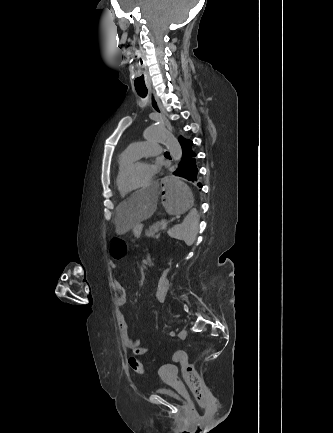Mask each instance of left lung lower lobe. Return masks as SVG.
Here are the masks:
<instances>
[{"label":"left lung lower lobe","instance_id":"left-lung-lower-lobe-1","mask_svg":"<svg viewBox=\"0 0 333 433\" xmlns=\"http://www.w3.org/2000/svg\"><path fill=\"white\" fill-rule=\"evenodd\" d=\"M179 142L182 149L181 159L174 175L187 179L191 184H197L198 166L197 154L193 148V141L180 137Z\"/></svg>","mask_w":333,"mask_h":433}]
</instances>
